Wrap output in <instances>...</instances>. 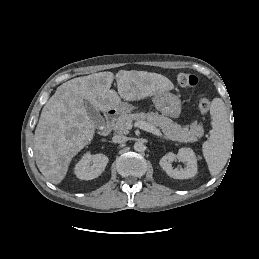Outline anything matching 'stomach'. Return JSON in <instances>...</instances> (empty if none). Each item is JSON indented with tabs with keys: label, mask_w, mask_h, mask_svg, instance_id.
Returning <instances> with one entry per match:
<instances>
[{
	"label": "stomach",
	"mask_w": 259,
	"mask_h": 259,
	"mask_svg": "<svg viewBox=\"0 0 259 259\" xmlns=\"http://www.w3.org/2000/svg\"><path fill=\"white\" fill-rule=\"evenodd\" d=\"M152 102L155 108L165 116L178 118L181 114V101L172 93H158L153 96ZM135 108V106L124 102L120 103L115 109L119 114H127Z\"/></svg>",
	"instance_id": "1"
}]
</instances>
